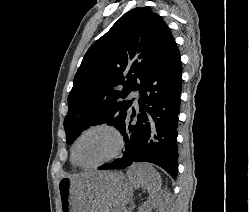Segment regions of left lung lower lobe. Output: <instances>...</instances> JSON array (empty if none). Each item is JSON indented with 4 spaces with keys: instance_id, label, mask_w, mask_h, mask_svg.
Masks as SVG:
<instances>
[{
    "instance_id": "obj_1",
    "label": "left lung lower lobe",
    "mask_w": 249,
    "mask_h": 212,
    "mask_svg": "<svg viewBox=\"0 0 249 212\" xmlns=\"http://www.w3.org/2000/svg\"><path fill=\"white\" fill-rule=\"evenodd\" d=\"M181 83L180 54L173 40L143 80L137 111L131 108L119 128L126 141L123 157L98 169H121L143 161L177 176Z\"/></svg>"
}]
</instances>
